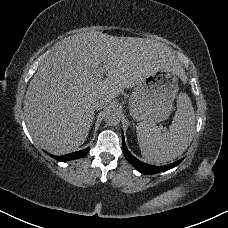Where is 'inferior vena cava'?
<instances>
[{
	"instance_id": "1",
	"label": "inferior vena cava",
	"mask_w": 228,
	"mask_h": 228,
	"mask_svg": "<svg viewBox=\"0 0 228 228\" xmlns=\"http://www.w3.org/2000/svg\"><path fill=\"white\" fill-rule=\"evenodd\" d=\"M90 103L93 110H101L107 105V101L105 99H102L96 95L91 98Z\"/></svg>"
}]
</instances>
